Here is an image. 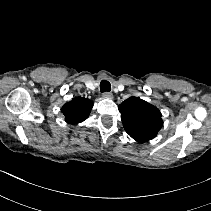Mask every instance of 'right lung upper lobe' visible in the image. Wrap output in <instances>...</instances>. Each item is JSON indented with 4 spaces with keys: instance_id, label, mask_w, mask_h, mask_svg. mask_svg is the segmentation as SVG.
<instances>
[{
    "instance_id": "right-lung-upper-lobe-1",
    "label": "right lung upper lobe",
    "mask_w": 211,
    "mask_h": 211,
    "mask_svg": "<svg viewBox=\"0 0 211 211\" xmlns=\"http://www.w3.org/2000/svg\"><path fill=\"white\" fill-rule=\"evenodd\" d=\"M92 107L93 105L88 99L76 97L64 104L61 110L67 123L77 124L88 118Z\"/></svg>"
}]
</instances>
